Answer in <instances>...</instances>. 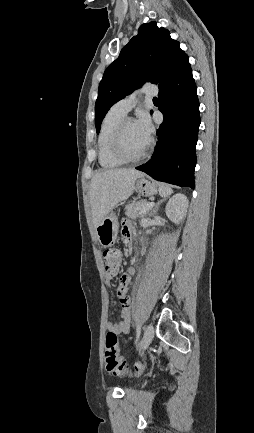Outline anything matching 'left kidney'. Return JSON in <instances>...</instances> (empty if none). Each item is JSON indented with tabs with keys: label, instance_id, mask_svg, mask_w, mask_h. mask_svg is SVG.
<instances>
[{
	"label": "left kidney",
	"instance_id": "5707ae66",
	"mask_svg": "<svg viewBox=\"0 0 254 433\" xmlns=\"http://www.w3.org/2000/svg\"><path fill=\"white\" fill-rule=\"evenodd\" d=\"M188 204L189 201L184 194H175L166 205L165 212L167 217L175 224H179L186 215Z\"/></svg>",
	"mask_w": 254,
	"mask_h": 433
}]
</instances>
